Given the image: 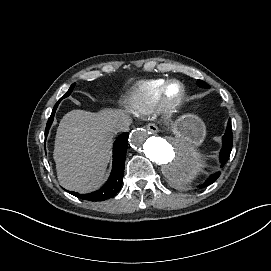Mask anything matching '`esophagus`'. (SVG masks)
<instances>
[{
  "label": "esophagus",
  "mask_w": 271,
  "mask_h": 271,
  "mask_svg": "<svg viewBox=\"0 0 271 271\" xmlns=\"http://www.w3.org/2000/svg\"><path fill=\"white\" fill-rule=\"evenodd\" d=\"M146 129L153 134L158 132V127L154 123H148Z\"/></svg>",
  "instance_id": "34e87169"
}]
</instances>
